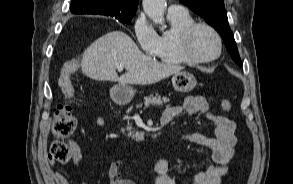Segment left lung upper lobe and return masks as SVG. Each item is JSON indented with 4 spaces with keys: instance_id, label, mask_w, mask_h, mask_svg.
Returning a JSON list of instances; mask_svg holds the SVG:
<instances>
[{
    "instance_id": "left-lung-upper-lobe-1",
    "label": "left lung upper lobe",
    "mask_w": 293,
    "mask_h": 184,
    "mask_svg": "<svg viewBox=\"0 0 293 184\" xmlns=\"http://www.w3.org/2000/svg\"><path fill=\"white\" fill-rule=\"evenodd\" d=\"M180 2L187 5L193 12L203 17L219 32L231 58L238 65H242L234 40V35L228 24L227 12L223 0H180Z\"/></svg>"
}]
</instances>
